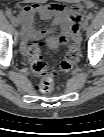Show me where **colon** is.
<instances>
[{"label":"colon","instance_id":"colon-1","mask_svg":"<svg viewBox=\"0 0 104 137\" xmlns=\"http://www.w3.org/2000/svg\"><path fill=\"white\" fill-rule=\"evenodd\" d=\"M60 42L67 46V52L60 63V70L68 72L74 68L79 59V46L75 40L69 41L66 37H60ZM26 55L30 68L41 77L39 90L43 93H49L53 90L56 73L49 69L44 62L38 43H32L27 46Z\"/></svg>","mask_w":104,"mask_h":137}]
</instances>
